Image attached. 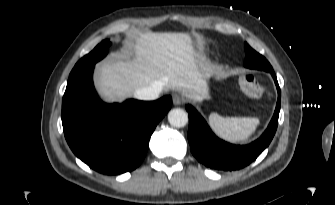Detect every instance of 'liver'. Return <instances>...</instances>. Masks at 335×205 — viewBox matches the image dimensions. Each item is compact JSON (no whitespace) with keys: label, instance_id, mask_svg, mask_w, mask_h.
<instances>
[{"label":"liver","instance_id":"6515ba94","mask_svg":"<svg viewBox=\"0 0 335 205\" xmlns=\"http://www.w3.org/2000/svg\"><path fill=\"white\" fill-rule=\"evenodd\" d=\"M211 75V68L198 64L189 34L147 32L135 37L123 56L98 66L96 86L109 102L152 85L202 100Z\"/></svg>","mask_w":335,"mask_h":205}]
</instances>
